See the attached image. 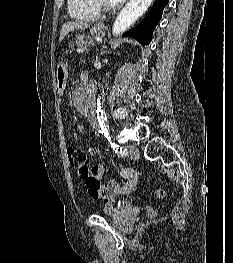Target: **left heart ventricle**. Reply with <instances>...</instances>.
<instances>
[{
	"instance_id": "left-heart-ventricle-1",
	"label": "left heart ventricle",
	"mask_w": 233,
	"mask_h": 263,
	"mask_svg": "<svg viewBox=\"0 0 233 263\" xmlns=\"http://www.w3.org/2000/svg\"><path fill=\"white\" fill-rule=\"evenodd\" d=\"M107 4L113 5V1L112 0H104Z\"/></svg>"
}]
</instances>
